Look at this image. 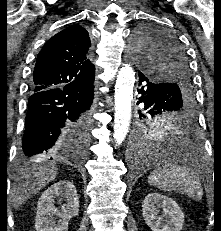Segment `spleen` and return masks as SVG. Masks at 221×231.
Here are the masks:
<instances>
[{"instance_id": "obj_1", "label": "spleen", "mask_w": 221, "mask_h": 231, "mask_svg": "<svg viewBox=\"0 0 221 231\" xmlns=\"http://www.w3.org/2000/svg\"><path fill=\"white\" fill-rule=\"evenodd\" d=\"M150 185L164 192H180L195 200L203 196L199 178L190 169L176 161H168L156 168L148 177Z\"/></svg>"}]
</instances>
